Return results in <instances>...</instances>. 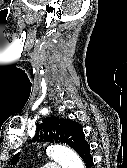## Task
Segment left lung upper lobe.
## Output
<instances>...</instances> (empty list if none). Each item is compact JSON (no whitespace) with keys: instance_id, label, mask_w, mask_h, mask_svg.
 <instances>
[{"instance_id":"obj_1","label":"left lung upper lobe","mask_w":127,"mask_h":168,"mask_svg":"<svg viewBox=\"0 0 127 168\" xmlns=\"http://www.w3.org/2000/svg\"><path fill=\"white\" fill-rule=\"evenodd\" d=\"M34 141L65 143L77 151L85 141V134L82 126L73 120L46 117L37 125ZM17 159L18 155L14 156L13 162Z\"/></svg>"}]
</instances>
